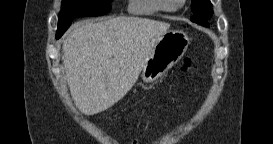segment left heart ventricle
I'll use <instances>...</instances> for the list:
<instances>
[{
    "label": "left heart ventricle",
    "instance_id": "left-heart-ventricle-1",
    "mask_svg": "<svg viewBox=\"0 0 273 144\" xmlns=\"http://www.w3.org/2000/svg\"><path fill=\"white\" fill-rule=\"evenodd\" d=\"M179 3V0H167V5L173 7Z\"/></svg>",
    "mask_w": 273,
    "mask_h": 144
}]
</instances>
